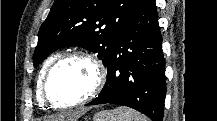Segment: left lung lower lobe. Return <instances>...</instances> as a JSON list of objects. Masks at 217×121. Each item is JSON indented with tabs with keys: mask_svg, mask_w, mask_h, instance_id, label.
Wrapping results in <instances>:
<instances>
[{
	"mask_svg": "<svg viewBox=\"0 0 217 121\" xmlns=\"http://www.w3.org/2000/svg\"><path fill=\"white\" fill-rule=\"evenodd\" d=\"M155 0H139L107 61V81L87 105L128 106L162 121L165 60Z\"/></svg>",
	"mask_w": 217,
	"mask_h": 121,
	"instance_id": "obj_1",
	"label": "left lung lower lobe"
}]
</instances>
